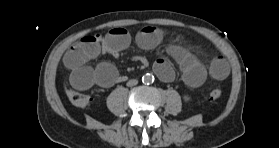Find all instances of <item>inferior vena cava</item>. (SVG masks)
<instances>
[{
	"label": "inferior vena cava",
	"instance_id": "602c4592",
	"mask_svg": "<svg viewBox=\"0 0 279 148\" xmlns=\"http://www.w3.org/2000/svg\"><path fill=\"white\" fill-rule=\"evenodd\" d=\"M138 84V80L136 79H131L127 82V86L132 87Z\"/></svg>",
	"mask_w": 279,
	"mask_h": 148
}]
</instances>
